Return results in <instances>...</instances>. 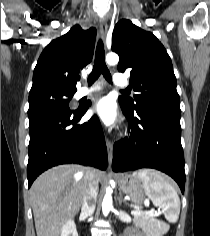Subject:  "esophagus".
Wrapping results in <instances>:
<instances>
[{
	"instance_id": "esophagus-1",
	"label": "esophagus",
	"mask_w": 210,
	"mask_h": 236,
	"mask_svg": "<svg viewBox=\"0 0 210 236\" xmlns=\"http://www.w3.org/2000/svg\"><path fill=\"white\" fill-rule=\"evenodd\" d=\"M107 30H108V26H107L106 20L103 18L100 20V32H101L104 42L106 40ZM106 147H107L109 164L111 165L112 158H113V144L111 140L108 138H106Z\"/></svg>"
}]
</instances>
